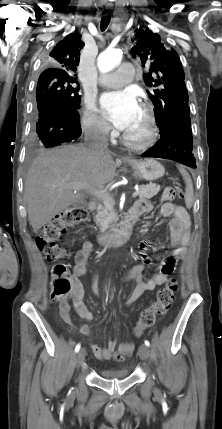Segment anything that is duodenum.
<instances>
[{"label": "duodenum", "instance_id": "410a0bca", "mask_svg": "<svg viewBox=\"0 0 222 429\" xmlns=\"http://www.w3.org/2000/svg\"><path fill=\"white\" fill-rule=\"evenodd\" d=\"M97 209V203L95 201H91L88 204V210L90 212H94ZM137 212H130L121 222L119 228L114 230L111 233L100 235L98 237V242L100 245L106 248H112L115 246L123 245L128 241L132 234L133 227L138 218Z\"/></svg>", "mask_w": 222, "mask_h": 429}]
</instances>
